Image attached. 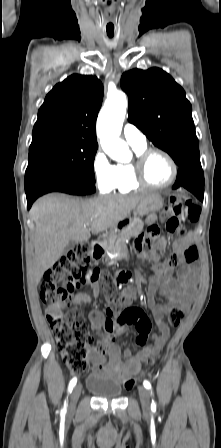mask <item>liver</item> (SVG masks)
I'll return each instance as SVG.
<instances>
[{
	"mask_svg": "<svg viewBox=\"0 0 221 448\" xmlns=\"http://www.w3.org/2000/svg\"><path fill=\"white\" fill-rule=\"evenodd\" d=\"M150 195L101 196L84 201L52 193L38 199L31 208L35 282L55 264L70 241H87L91 233L114 228Z\"/></svg>",
	"mask_w": 221,
	"mask_h": 448,
	"instance_id": "liver-1",
	"label": "liver"
}]
</instances>
